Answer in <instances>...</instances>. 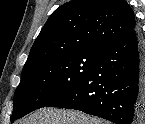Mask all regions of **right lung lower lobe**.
I'll return each mask as SVG.
<instances>
[{
    "label": "right lung lower lobe",
    "instance_id": "98d812e1",
    "mask_svg": "<svg viewBox=\"0 0 145 124\" xmlns=\"http://www.w3.org/2000/svg\"><path fill=\"white\" fill-rule=\"evenodd\" d=\"M45 107L132 124L145 107V60L137 28L104 48L86 76Z\"/></svg>",
    "mask_w": 145,
    "mask_h": 124
}]
</instances>
